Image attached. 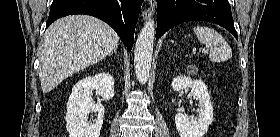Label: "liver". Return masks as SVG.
<instances>
[{
    "mask_svg": "<svg viewBox=\"0 0 280 137\" xmlns=\"http://www.w3.org/2000/svg\"><path fill=\"white\" fill-rule=\"evenodd\" d=\"M119 45V36L105 22L71 15L46 30L40 53L39 79L48 93L72 74L99 62Z\"/></svg>",
    "mask_w": 280,
    "mask_h": 137,
    "instance_id": "1",
    "label": "liver"
}]
</instances>
